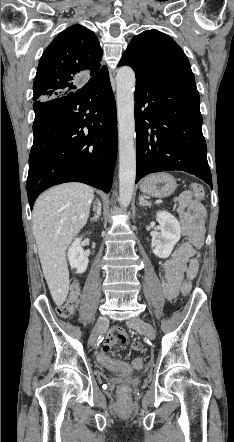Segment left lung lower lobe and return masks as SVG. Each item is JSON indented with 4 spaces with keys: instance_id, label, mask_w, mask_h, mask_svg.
Segmentation results:
<instances>
[{
    "instance_id": "left-lung-lower-lobe-1",
    "label": "left lung lower lobe",
    "mask_w": 234,
    "mask_h": 442,
    "mask_svg": "<svg viewBox=\"0 0 234 442\" xmlns=\"http://www.w3.org/2000/svg\"><path fill=\"white\" fill-rule=\"evenodd\" d=\"M136 183L147 174L181 170L212 187L194 80L136 78Z\"/></svg>"
}]
</instances>
